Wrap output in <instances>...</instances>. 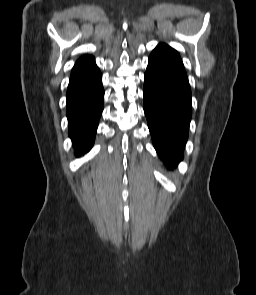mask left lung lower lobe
I'll return each instance as SVG.
<instances>
[{
  "instance_id": "1",
  "label": "left lung lower lobe",
  "mask_w": 256,
  "mask_h": 295,
  "mask_svg": "<svg viewBox=\"0 0 256 295\" xmlns=\"http://www.w3.org/2000/svg\"><path fill=\"white\" fill-rule=\"evenodd\" d=\"M144 112L153 145L169 169L182 160L192 115L188 77L148 63L144 76Z\"/></svg>"
}]
</instances>
